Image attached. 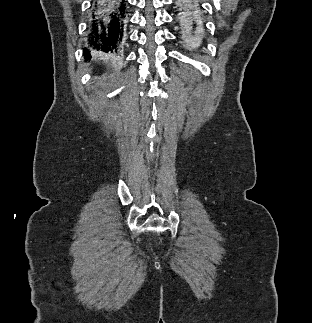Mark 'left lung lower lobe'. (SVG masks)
Listing matches in <instances>:
<instances>
[{
  "mask_svg": "<svg viewBox=\"0 0 312 323\" xmlns=\"http://www.w3.org/2000/svg\"><path fill=\"white\" fill-rule=\"evenodd\" d=\"M177 8L180 36H183L185 45L191 52L198 53L204 46L206 28L199 13L202 7L197 2L187 0V2L178 3Z\"/></svg>",
  "mask_w": 312,
  "mask_h": 323,
  "instance_id": "left-lung-lower-lobe-1",
  "label": "left lung lower lobe"
}]
</instances>
